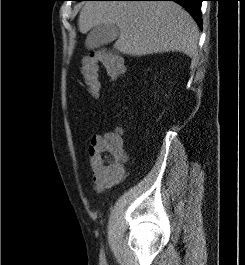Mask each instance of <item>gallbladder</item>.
<instances>
[{"mask_svg":"<svg viewBox=\"0 0 245 265\" xmlns=\"http://www.w3.org/2000/svg\"><path fill=\"white\" fill-rule=\"evenodd\" d=\"M119 36V28L114 24H100L94 26L87 36V45L90 48H99L107 45Z\"/></svg>","mask_w":245,"mask_h":265,"instance_id":"gallbladder-1","label":"gallbladder"}]
</instances>
